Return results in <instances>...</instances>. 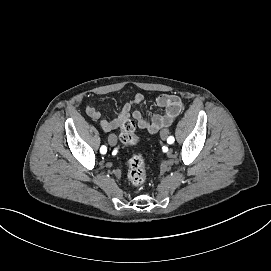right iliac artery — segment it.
<instances>
[{
	"label": "right iliac artery",
	"mask_w": 271,
	"mask_h": 271,
	"mask_svg": "<svg viewBox=\"0 0 271 271\" xmlns=\"http://www.w3.org/2000/svg\"><path fill=\"white\" fill-rule=\"evenodd\" d=\"M106 152H107L106 146H102V147L100 148V155H106Z\"/></svg>",
	"instance_id": "obj_1"
}]
</instances>
